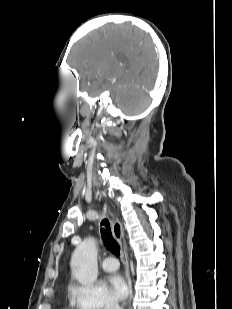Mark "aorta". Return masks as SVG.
<instances>
[{
  "label": "aorta",
  "mask_w": 232,
  "mask_h": 309,
  "mask_svg": "<svg viewBox=\"0 0 232 309\" xmlns=\"http://www.w3.org/2000/svg\"><path fill=\"white\" fill-rule=\"evenodd\" d=\"M72 274L83 285L92 284L98 276L97 245L94 238H87L75 249L72 260Z\"/></svg>",
  "instance_id": "1"
}]
</instances>
